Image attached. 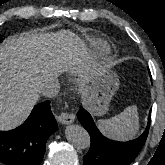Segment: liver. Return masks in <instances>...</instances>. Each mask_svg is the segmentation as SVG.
Listing matches in <instances>:
<instances>
[{"label": "liver", "mask_w": 165, "mask_h": 165, "mask_svg": "<svg viewBox=\"0 0 165 165\" xmlns=\"http://www.w3.org/2000/svg\"><path fill=\"white\" fill-rule=\"evenodd\" d=\"M77 40L70 32L25 34L7 39L0 47V130L21 125L37 103L41 86L64 70L84 73L86 79L92 58L83 51L67 54L65 50Z\"/></svg>", "instance_id": "obj_1"}]
</instances>
